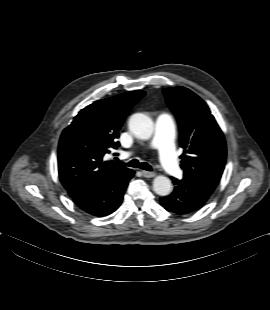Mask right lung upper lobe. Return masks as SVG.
<instances>
[{
	"instance_id": "obj_1",
	"label": "right lung upper lobe",
	"mask_w": 270,
	"mask_h": 310,
	"mask_svg": "<svg viewBox=\"0 0 270 310\" xmlns=\"http://www.w3.org/2000/svg\"><path fill=\"white\" fill-rule=\"evenodd\" d=\"M144 95L137 90L98 100L82 109L64 129L58 147V171L67 191L96 184L126 169L103 157L119 146L117 138L126 115Z\"/></svg>"
}]
</instances>
